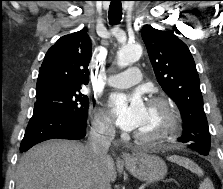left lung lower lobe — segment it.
Returning <instances> with one entry per match:
<instances>
[{
    "instance_id": "left-lung-lower-lobe-1",
    "label": "left lung lower lobe",
    "mask_w": 223,
    "mask_h": 189,
    "mask_svg": "<svg viewBox=\"0 0 223 189\" xmlns=\"http://www.w3.org/2000/svg\"><path fill=\"white\" fill-rule=\"evenodd\" d=\"M199 154H201V155H204V156H207L208 154L207 153H203V152H199V151H197Z\"/></svg>"
}]
</instances>
